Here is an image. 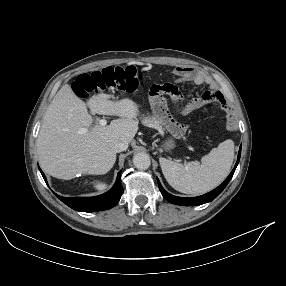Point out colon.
Returning a JSON list of instances; mask_svg holds the SVG:
<instances>
[{
    "mask_svg": "<svg viewBox=\"0 0 286 286\" xmlns=\"http://www.w3.org/2000/svg\"><path fill=\"white\" fill-rule=\"evenodd\" d=\"M141 77L134 67H106L98 71L80 74L75 81V92L85 98L99 90H117L135 92L140 86ZM178 89L172 84L153 85L147 95L151 101L152 113L158 117L163 128L172 132L178 139L186 138L190 132L189 124L181 126L170 115V108L166 105L163 95L175 96Z\"/></svg>",
    "mask_w": 286,
    "mask_h": 286,
    "instance_id": "obj_1",
    "label": "colon"
}]
</instances>
